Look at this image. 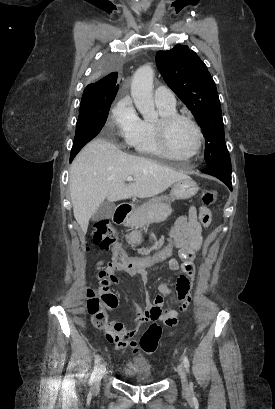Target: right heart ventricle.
Here are the masks:
<instances>
[{
    "label": "right heart ventricle",
    "mask_w": 275,
    "mask_h": 409,
    "mask_svg": "<svg viewBox=\"0 0 275 409\" xmlns=\"http://www.w3.org/2000/svg\"><path fill=\"white\" fill-rule=\"evenodd\" d=\"M160 117L176 114V110L158 107ZM158 121L140 120L137 133L132 142L137 154L146 156L168 157L163 151L156 130Z\"/></svg>",
    "instance_id": "1"
}]
</instances>
